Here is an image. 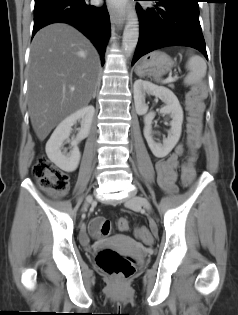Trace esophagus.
<instances>
[{"label": "esophagus", "mask_w": 238, "mask_h": 315, "mask_svg": "<svg viewBox=\"0 0 238 315\" xmlns=\"http://www.w3.org/2000/svg\"><path fill=\"white\" fill-rule=\"evenodd\" d=\"M110 20L114 30L121 29L125 23V14L116 9V7L109 5Z\"/></svg>", "instance_id": "esophagus-1"}]
</instances>
